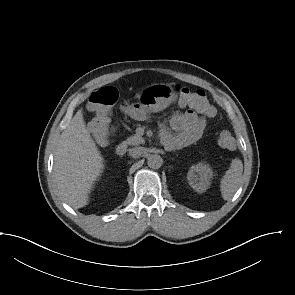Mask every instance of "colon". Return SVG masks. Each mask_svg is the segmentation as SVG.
Segmentation results:
<instances>
[{
	"label": "colon",
	"mask_w": 295,
	"mask_h": 295,
	"mask_svg": "<svg viewBox=\"0 0 295 295\" xmlns=\"http://www.w3.org/2000/svg\"><path fill=\"white\" fill-rule=\"evenodd\" d=\"M176 94L179 103L195 109L206 117L216 116V109L211 104L206 94L201 91H192L181 85L176 86ZM118 99V91L114 87H103L93 92L88 100V109L94 113L91 124V131L98 144H105L107 141L108 124L112 106ZM218 144L227 150H233L236 142L228 130H222L218 136Z\"/></svg>",
	"instance_id": "1"
}]
</instances>
